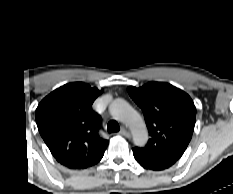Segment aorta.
<instances>
[{"mask_svg":"<svg viewBox=\"0 0 233 194\" xmlns=\"http://www.w3.org/2000/svg\"><path fill=\"white\" fill-rule=\"evenodd\" d=\"M111 110L123 123L129 126L136 145L142 146L147 142L148 131L142 117L125 100H115L111 104Z\"/></svg>","mask_w":233,"mask_h":194,"instance_id":"aorta-1","label":"aorta"}]
</instances>
